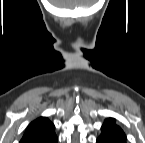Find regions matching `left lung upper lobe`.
Instances as JSON below:
<instances>
[{
	"instance_id": "left-lung-upper-lobe-1",
	"label": "left lung upper lobe",
	"mask_w": 145,
	"mask_h": 143,
	"mask_svg": "<svg viewBox=\"0 0 145 143\" xmlns=\"http://www.w3.org/2000/svg\"><path fill=\"white\" fill-rule=\"evenodd\" d=\"M101 131L102 132L100 136L109 138L116 143H126V135L122 129L115 124L114 118L106 119Z\"/></svg>"
}]
</instances>
